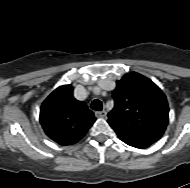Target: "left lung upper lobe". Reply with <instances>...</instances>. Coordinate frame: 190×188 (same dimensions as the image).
Wrapping results in <instances>:
<instances>
[{
	"label": "left lung upper lobe",
	"mask_w": 190,
	"mask_h": 188,
	"mask_svg": "<svg viewBox=\"0 0 190 188\" xmlns=\"http://www.w3.org/2000/svg\"><path fill=\"white\" fill-rule=\"evenodd\" d=\"M114 108L108 123L140 133L162 136L169 120V108L161 89L147 77L133 72L117 81Z\"/></svg>",
	"instance_id": "1"
}]
</instances>
